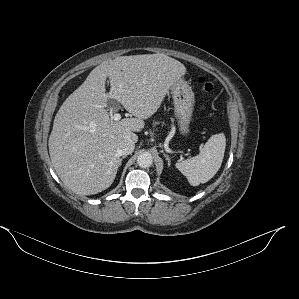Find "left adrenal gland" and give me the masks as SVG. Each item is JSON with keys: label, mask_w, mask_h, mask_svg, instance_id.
Returning a JSON list of instances; mask_svg holds the SVG:
<instances>
[{"label": "left adrenal gland", "mask_w": 299, "mask_h": 299, "mask_svg": "<svg viewBox=\"0 0 299 299\" xmlns=\"http://www.w3.org/2000/svg\"><path fill=\"white\" fill-rule=\"evenodd\" d=\"M165 157H166V160L168 161V166H170L171 165V160H170L169 155L165 154Z\"/></svg>", "instance_id": "1"}]
</instances>
